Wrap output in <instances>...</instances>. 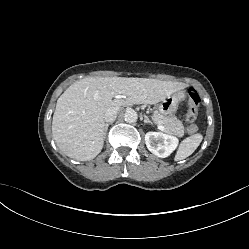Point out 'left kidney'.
Instances as JSON below:
<instances>
[{"label": "left kidney", "instance_id": "left-kidney-1", "mask_svg": "<svg viewBox=\"0 0 249 249\" xmlns=\"http://www.w3.org/2000/svg\"><path fill=\"white\" fill-rule=\"evenodd\" d=\"M145 143L150 152L160 158L168 157L178 146V139L162 132H147Z\"/></svg>", "mask_w": 249, "mask_h": 249}]
</instances>
